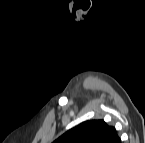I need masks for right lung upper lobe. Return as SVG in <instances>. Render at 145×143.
<instances>
[{"instance_id":"obj_1","label":"right lung upper lobe","mask_w":145,"mask_h":143,"mask_svg":"<svg viewBox=\"0 0 145 143\" xmlns=\"http://www.w3.org/2000/svg\"><path fill=\"white\" fill-rule=\"evenodd\" d=\"M113 127L103 120H91L67 131L54 143H120Z\"/></svg>"}]
</instances>
